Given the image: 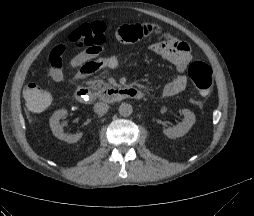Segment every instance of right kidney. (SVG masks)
<instances>
[{
	"label": "right kidney",
	"mask_w": 254,
	"mask_h": 216,
	"mask_svg": "<svg viewBox=\"0 0 254 216\" xmlns=\"http://www.w3.org/2000/svg\"><path fill=\"white\" fill-rule=\"evenodd\" d=\"M65 115H67V110L65 109H60L54 112V114L49 120L52 133L60 140H64L68 143H76L82 138L83 133H77L74 135L64 133L63 126L60 124L59 121Z\"/></svg>",
	"instance_id": "1"
}]
</instances>
